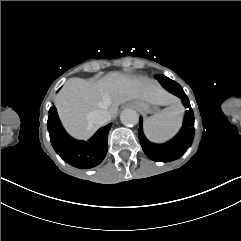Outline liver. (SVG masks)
Wrapping results in <instances>:
<instances>
[{
    "mask_svg": "<svg viewBox=\"0 0 241 241\" xmlns=\"http://www.w3.org/2000/svg\"><path fill=\"white\" fill-rule=\"evenodd\" d=\"M131 100L181 112L177 108V100L156 86L154 81L139 82L118 73H110L99 82L69 79L57 94L55 105L68 131L86 139L98 127L87 121L89 112L106 109L113 117L118 106Z\"/></svg>",
    "mask_w": 241,
    "mask_h": 241,
    "instance_id": "liver-1",
    "label": "liver"
}]
</instances>
